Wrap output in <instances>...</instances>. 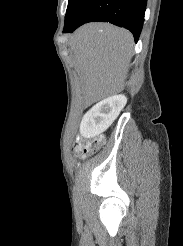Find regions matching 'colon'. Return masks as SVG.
Wrapping results in <instances>:
<instances>
[{
    "label": "colon",
    "mask_w": 183,
    "mask_h": 246,
    "mask_svg": "<svg viewBox=\"0 0 183 246\" xmlns=\"http://www.w3.org/2000/svg\"><path fill=\"white\" fill-rule=\"evenodd\" d=\"M99 146H100V141L94 140L91 142H85L81 144L80 146L76 148V151L81 152L84 155L91 154V153L96 152Z\"/></svg>",
    "instance_id": "1"
}]
</instances>
